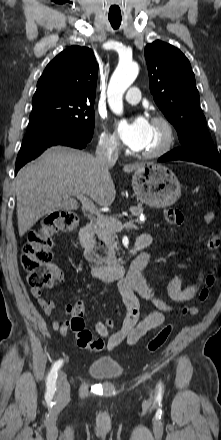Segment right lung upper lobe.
<instances>
[{"mask_svg":"<svg viewBox=\"0 0 221 440\" xmlns=\"http://www.w3.org/2000/svg\"><path fill=\"white\" fill-rule=\"evenodd\" d=\"M97 62L87 47L74 45L57 55L38 80L32 104L40 102L93 103Z\"/></svg>","mask_w":221,"mask_h":440,"instance_id":"right-lung-upper-lobe-1","label":"right lung upper lobe"}]
</instances>
